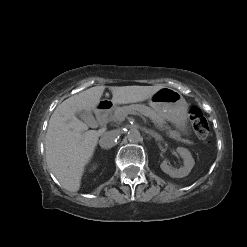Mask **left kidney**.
Returning a JSON list of instances; mask_svg holds the SVG:
<instances>
[{"label":"left kidney","mask_w":247,"mask_h":247,"mask_svg":"<svg viewBox=\"0 0 247 247\" xmlns=\"http://www.w3.org/2000/svg\"><path fill=\"white\" fill-rule=\"evenodd\" d=\"M176 151L181 156V158L184 160L183 162L184 166L180 167L179 169H175L169 166L168 162L164 160L160 164V168L164 173L168 174L172 178H183L191 172L192 168L195 165V161L190 151L187 150L186 148L178 147Z\"/></svg>","instance_id":"5707ae66"}]
</instances>
